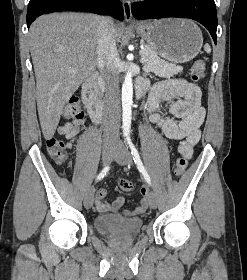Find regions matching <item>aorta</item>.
I'll list each match as a JSON object with an SVG mask.
<instances>
[{
  "instance_id": "obj_1",
  "label": "aorta",
  "mask_w": 247,
  "mask_h": 280,
  "mask_svg": "<svg viewBox=\"0 0 247 280\" xmlns=\"http://www.w3.org/2000/svg\"><path fill=\"white\" fill-rule=\"evenodd\" d=\"M133 99L132 73L128 71L122 85V127L124 135L130 133L131 107Z\"/></svg>"
}]
</instances>
